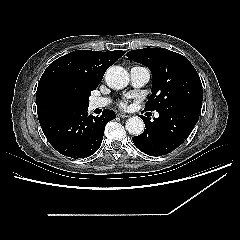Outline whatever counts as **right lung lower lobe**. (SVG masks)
<instances>
[{
	"instance_id": "98d812e1",
	"label": "right lung lower lobe",
	"mask_w": 240,
	"mask_h": 240,
	"mask_svg": "<svg viewBox=\"0 0 240 240\" xmlns=\"http://www.w3.org/2000/svg\"><path fill=\"white\" fill-rule=\"evenodd\" d=\"M87 108L61 111L40 123L49 143L61 154L75 159L89 157L101 145L105 125L116 115L104 110L100 117L88 116Z\"/></svg>"
}]
</instances>
